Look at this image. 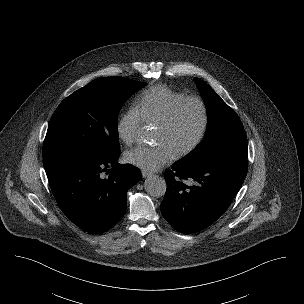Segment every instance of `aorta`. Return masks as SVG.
I'll use <instances>...</instances> for the list:
<instances>
[{
	"label": "aorta",
	"instance_id": "762f6f07",
	"mask_svg": "<svg viewBox=\"0 0 304 304\" xmlns=\"http://www.w3.org/2000/svg\"><path fill=\"white\" fill-rule=\"evenodd\" d=\"M144 187L146 192L152 197L163 196L167 188L165 179L158 175L148 177L145 180Z\"/></svg>",
	"mask_w": 304,
	"mask_h": 304
}]
</instances>
